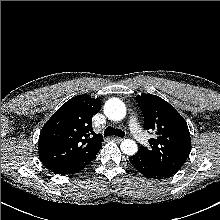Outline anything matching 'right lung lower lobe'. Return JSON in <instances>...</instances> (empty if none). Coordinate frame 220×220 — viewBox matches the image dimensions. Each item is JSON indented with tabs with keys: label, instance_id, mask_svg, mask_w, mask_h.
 <instances>
[{
	"label": "right lung lower lobe",
	"instance_id": "right-lung-lower-lobe-1",
	"mask_svg": "<svg viewBox=\"0 0 220 220\" xmlns=\"http://www.w3.org/2000/svg\"><path fill=\"white\" fill-rule=\"evenodd\" d=\"M100 148L92 152L91 155L83 159H80L78 161H75L73 163H70L68 165H64L58 168L57 170H54L53 172L56 174H60V175H67V174H73V173L79 172L81 169H83L86 165H88L94 159V157L97 155Z\"/></svg>",
	"mask_w": 220,
	"mask_h": 220
}]
</instances>
